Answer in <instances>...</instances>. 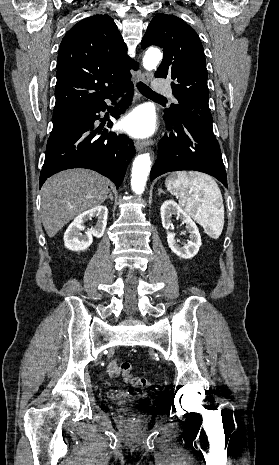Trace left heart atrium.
Wrapping results in <instances>:
<instances>
[{"mask_svg":"<svg viewBox=\"0 0 279 465\" xmlns=\"http://www.w3.org/2000/svg\"><path fill=\"white\" fill-rule=\"evenodd\" d=\"M120 127L132 137L145 138L155 131V117L148 108L139 107L121 121Z\"/></svg>","mask_w":279,"mask_h":465,"instance_id":"left-heart-atrium-1","label":"left heart atrium"}]
</instances>
